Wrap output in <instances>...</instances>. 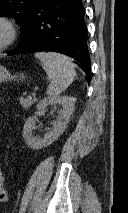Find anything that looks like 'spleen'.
<instances>
[{"label":"spleen","instance_id":"obj_1","mask_svg":"<svg viewBox=\"0 0 128 213\" xmlns=\"http://www.w3.org/2000/svg\"><path fill=\"white\" fill-rule=\"evenodd\" d=\"M35 57L41 61L50 79L47 88L50 97L59 95L73 82L76 71L69 57L53 52H37Z\"/></svg>","mask_w":128,"mask_h":213}]
</instances>
